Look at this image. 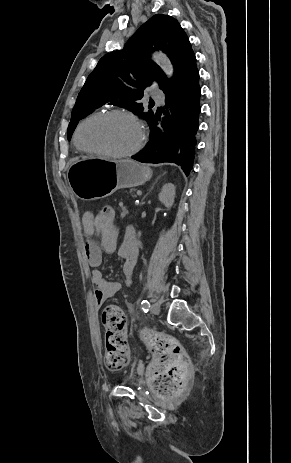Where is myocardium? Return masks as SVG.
I'll return each mask as SVG.
<instances>
[{"label":"myocardium","instance_id":"f54148a6","mask_svg":"<svg viewBox=\"0 0 291 463\" xmlns=\"http://www.w3.org/2000/svg\"><path fill=\"white\" fill-rule=\"evenodd\" d=\"M112 115H120V116L126 117L130 121H132L133 124L136 126L138 130V140L135 146L127 151H120V152L109 151V150H104V149H94V148L84 146L80 141V132H81L82 127L87 122H89L90 120L96 117L112 116ZM145 140H146V130L142 122L133 112L126 110V109H121V108L103 110V111H98V112L90 114L78 124L75 130V134H74L75 145L80 150L86 153H89V154L102 155V156L111 157V158H126V157H131L135 155L142 149L145 143Z\"/></svg>","mask_w":291,"mask_h":463}]
</instances>
